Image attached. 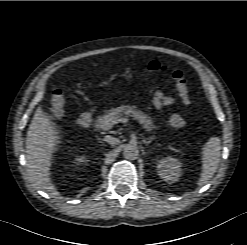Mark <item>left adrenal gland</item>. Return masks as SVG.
I'll use <instances>...</instances> for the list:
<instances>
[{
    "instance_id": "left-adrenal-gland-1",
    "label": "left adrenal gland",
    "mask_w": 247,
    "mask_h": 245,
    "mask_svg": "<svg viewBox=\"0 0 247 245\" xmlns=\"http://www.w3.org/2000/svg\"><path fill=\"white\" fill-rule=\"evenodd\" d=\"M153 139H154V137H151V138H149L148 140H143V143H144L145 145H148Z\"/></svg>"
}]
</instances>
